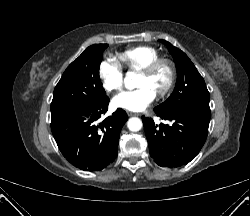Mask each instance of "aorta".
Listing matches in <instances>:
<instances>
[{"label": "aorta", "instance_id": "1", "mask_svg": "<svg viewBox=\"0 0 250 216\" xmlns=\"http://www.w3.org/2000/svg\"><path fill=\"white\" fill-rule=\"evenodd\" d=\"M132 82V77L129 76L125 79V83L126 85H130ZM127 126L128 129L132 132H138L139 130H141L143 123L141 121V119L137 118V117H132L128 120L127 122Z\"/></svg>", "mask_w": 250, "mask_h": 216}]
</instances>
